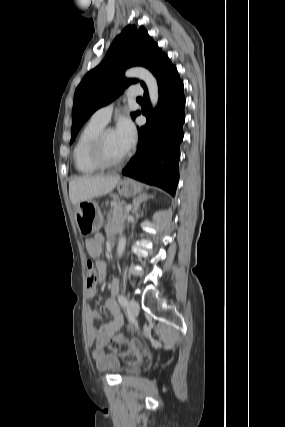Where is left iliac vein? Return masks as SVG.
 <instances>
[{"mask_svg":"<svg viewBox=\"0 0 285 427\" xmlns=\"http://www.w3.org/2000/svg\"><path fill=\"white\" fill-rule=\"evenodd\" d=\"M129 309H130L131 316L133 318H136L140 310L138 302L136 300H131L129 303Z\"/></svg>","mask_w":285,"mask_h":427,"instance_id":"left-iliac-vein-1","label":"left iliac vein"}]
</instances>
